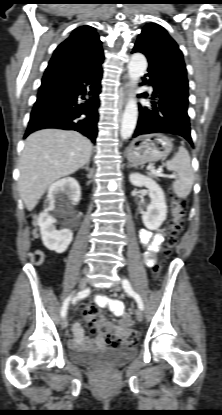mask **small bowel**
I'll list each match as a JSON object with an SVG mask.
<instances>
[{
  "instance_id": "small-bowel-1",
  "label": "small bowel",
  "mask_w": 222,
  "mask_h": 415,
  "mask_svg": "<svg viewBox=\"0 0 222 415\" xmlns=\"http://www.w3.org/2000/svg\"><path fill=\"white\" fill-rule=\"evenodd\" d=\"M163 240L164 234L162 232L152 233L148 230L141 231L140 242L145 249V263L148 266H151L155 263V255L159 250V247ZM97 303L101 306H108L115 316L122 317L124 320L126 319L122 302L118 300L109 299L105 296H99L97 298ZM104 344L105 338L103 335H98L94 340H86L84 337V331L82 326L79 323H75L73 325L72 345L102 347L104 346Z\"/></svg>"
}]
</instances>
